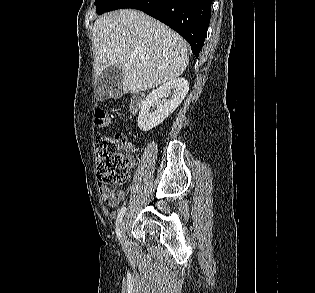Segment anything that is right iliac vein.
I'll use <instances>...</instances> for the list:
<instances>
[{"label": "right iliac vein", "instance_id": "63e3f726", "mask_svg": "<svg viewBox=\"0 0 315 293\" xmlns=\"http://www.w3.org/2000/svg\"><path fill=\"white\" fill-rule=\"evenodd\" d=\"M119 230L121 232V237H122V240H123L124 247L126 249H128L129 248V242H128L127 236H126L125 222L124 221L120 222Z\"/></svg>", "mask_w": 315, "mask_h": 293}]
</instances>
